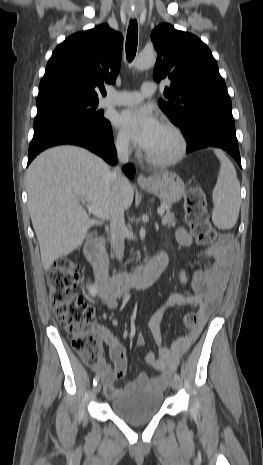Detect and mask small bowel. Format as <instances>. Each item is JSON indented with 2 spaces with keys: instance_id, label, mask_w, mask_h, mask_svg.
I'll return each mask as SVG.
<instances>
[{
  "instance_id": "obj_1",
  "label": "small bowel",
  "mask_w": 263,
  "mask_h": 465,
  "mask_svg": "<svg viewBox=\"0 0 263 465\" xmlns=\"http://www.w3.org/2000/svg\"><path fill=\"white\" fill-rule=\"evenodd\" d=\"M176 239L181 245H189L192 242L190 233L180 228L176 232ZM205 254L213 259V264L205 270L195 271L192 275L191 285L194 295L172 294L154 311L149 319V329L158 345L161 344V321L164 313L174 307H194L198 310L200 322L195 330L188 335L178 338L170 349L160 347L159 354L147 353L145 360L149 366L158 371L157 377H148L140 374L134 381L128 383L124 388H116L114 382L121 379L127 370V355L124 346L107 330L98 329V333L109 346L110 359L113 368L107 364L98 367L97 372L101 376L104 392L107 398L113 399L122 393L136 387H151L162 390L166 387L170 375L177 369L179 361L184 353L193 345L199 334H204L205 322L218 307L225 291L229 274V242L223 239L218 245L207 248ZM102 302L109 308L117 307V297L101 295ZM138 346H144L145 339L142 334L136 338Z\"/></svg>"
}]
</instances>
